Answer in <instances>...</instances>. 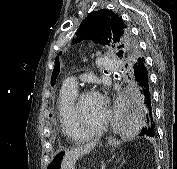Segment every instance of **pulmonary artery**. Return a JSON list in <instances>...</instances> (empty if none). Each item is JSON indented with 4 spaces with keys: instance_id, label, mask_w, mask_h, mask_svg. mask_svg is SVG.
<instances>
[{
    "instance_id": "pulmonary-artery-1",
    "label": "pulmonary artery",
    "mask_w": 177,
    "mask_h": 169,
    "mask_svg": "<svg viewBox=\"0 0 177 169\" xmlns=\"http://www.w3.org/2000/svg\"><path fill=\"white\" fill-rule=\"evenodd\" d=\"M100 64L103 66V67H106V68H112L115 66V62L109 58H102L100 60ZM63 87L66 88V89H69V90H75L77 91L78 90V80L76 77L74 76H71L69 78H67L64 83H63Z\"/></svg>"
}]
</instances>
